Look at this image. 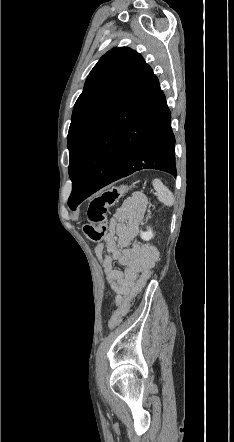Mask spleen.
Returning <instances> with one entry per match:
<instances>
[{
    "label": "spleen",
    "instance_id": "obj_1",
    "mask_svg": "<svg viewBox=\"0 0 234 442\" xmlns=\"http://www.w3.org/2000/svg\"><path fill=\"white\" fill-rule=\"evenodd\" d=\"M153 187L157 192L158 200L166 206H172L174 197L172 192L159 180H153Z\"/></svg>",
    "mask_w": 234,
    "mask_h": 442
}]
</instances>
